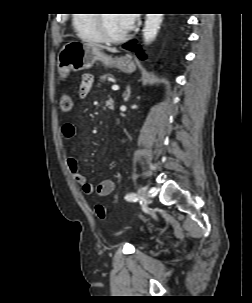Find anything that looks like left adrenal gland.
Returning <instances> with one entry per match:
<instances>
[{
    "instance_id": "a2214340",
    "label": "left adrenal gland",
    "mask_w": 252,
    "mask_h": 303,
    "mask_svg": "<svg viewBox=\"0 0 252 303\" xmlns=\"http://www.w3.org/2000/svg\"><path fill=\"white\" fill-rule=\"evenodd\" d=\"M131 94V88L130 86L127 87L126 92L123 94L124 101H128Z\"/></svg>"
}]
</instances>
